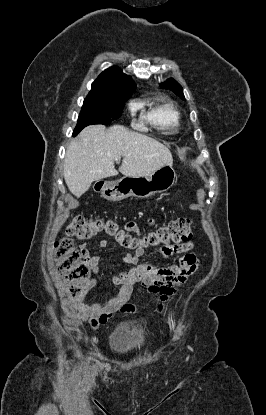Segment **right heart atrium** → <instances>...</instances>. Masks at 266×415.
<instances>
[{"label":"right heart atrium","instance_id":"obj_1","mask_svg":"<svg viewBox=\"0 0 266 415\" xmlns=\"http://www.w3.org/2000/svg\"><path fill=\"white\" fill-rule=\"evenodd\" d=\"M129 108H130L131 111H134L136 109V105L134 103H131L129 105Z\"/></svg>","mask_w":266,"mask_h":415}]
</instances>
